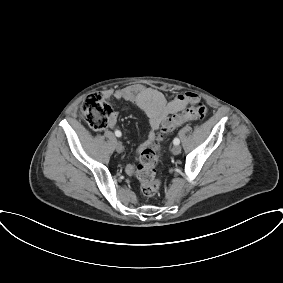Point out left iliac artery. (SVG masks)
Wrapping results in <instances>:
<instances>
[{
    "instance_id": "left-iliac-artery-1",
    "label": "left iliac artery",
    "mask_w": 283,
    "mask_h": 283,
    "mask_svg": "<svg viewBox=\"0 0 283 283\" xmlns=\"http://www.w3.org/2000/svg\"><path fill=\"white\" fill-rule=\"evenodd\" d=\"M173 143H174L175 145H179L180 140H179L178 138H175V139L173 140Z\"/></svg>"
}]
</instances>
